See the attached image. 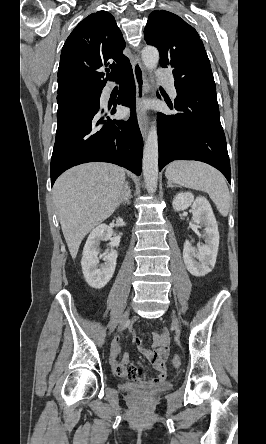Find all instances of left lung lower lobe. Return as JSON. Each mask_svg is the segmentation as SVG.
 <instances>
[{
	"instance_id": "left-lung-lower-lobe-1",
	"label": "left lung lower lobe",
	"mask_w": 266,
	"mask_h": 444,
	"mask_svg": "<svg viewBox=\"0 0 266 444\" xmlns=\"http://www.w3.org/2000/svg\"><path fill=\"white\" fill-rule=\"evenodd\" d=\"M175 109L158 113L159 171L174 160H197L217 168L231 183L226 139L214 90H176Z\"/></svg>"
}]
</instances>
